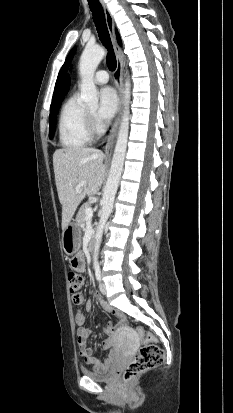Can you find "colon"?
I'll use <instances>...</instances> for the list:
<instances>
[{"instance_id":"1","label":"colon","mask_w":233,"mask_h":413,"mask_svg":"<svg viewBox=\"0 0 233 413\" xmlns=\"http://www.w3.org/2000/svg\"><path fill=\"white\" fill-rule=\"evenodd\" d=\"M68 283L71 293L75 294L82 287L83 277L76 272L70 271L68 273ZM138 332L144 336L145 344L125 368L123 372L125 380H130L147 370L153 369L164 361V351L155 343L154 336L150 333L145 334L141 328L138 329Z\"/></svg>"}]
</instances>
